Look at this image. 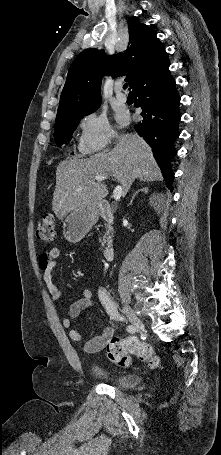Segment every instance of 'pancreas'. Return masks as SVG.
I'll list each match as a JSON object with an SVG mask.
<instances>
[{
    "mask_svg": "<svg viewBox=\"0 0 221 455\" xmlns=\"http://www.w3.org/2000/svg\"><path fill=\"white\" fill-rule=\"evenodd\" d=\"M106 234H107V240H108L113 235V228L109 227L107 232H106ZM99 242L101 243V246L103 247L105 245V243H106L105 237L100 238Z\"/></svg>",
    "mask_w": 221,
    "mask_h": 455,
    "instance_id": "obj_1",
    "label": "pancreas"
}]
</instances>
